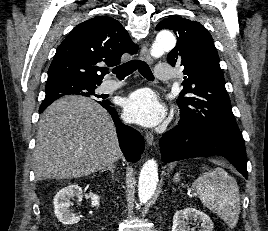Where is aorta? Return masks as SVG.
Returning <instances> with one entry per match:
<instances>
[{"instance_id":"aorta-1","label":"aorta","mask_w":268,"mask_h":231,"mask_svg":"<svg viewBox=\"0 0 268 231\" xmlns=\"http://www.w3.org/2000/svg\"><path fill=\"white\" fill-rule=\"evenodd\" d=\"M176 39L170 32H160L151 47L155 58L174 48ZM158 182V164L154 159L146 161L140 171L138 196L141 202H147L154 194Z\"/></svg>"}]
</instances>
